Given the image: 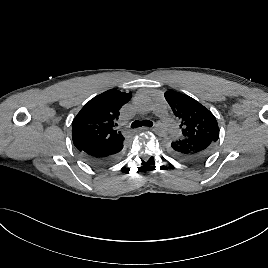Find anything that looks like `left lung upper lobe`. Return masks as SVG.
<instances>
[{
	"label": "left lung upper lobe",
	"instance_id": "left-lung-upper-lobe-1",
	"mask_svg": "<svg viewBox=\"0 0 268 268\" xmlns=\"http://www.w3.org/2000/svg\"><path fill=\"white\" fill-rule=\"evenodd\" d=\"M165 99L181 122V138H209L217 142L219 127L214 115L195 99L175 91L165 92Z\"/></svg>",
	"mask_w": 268,
	"mask_h": 268
}]
</instances>
